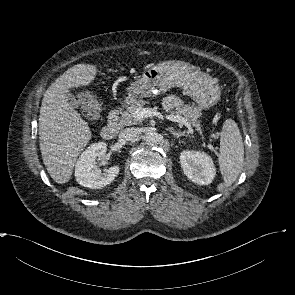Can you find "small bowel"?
I'll list each match as a JSON object with an SVG mask.
<instances>
[{"instance_id": "c3829d8e", "label": "small bowel", "mask_w": 295, "mask_h": 295, "mask_svg": "<svg viewBox=\"0 0 295 295\" xmlns=\"http://www.w3.org/2000/svg\"><path fill=\"white\" fill-rule=\"evenodd\" d=\"M181 105H182V101L177 96H173V95L167 96L163 100V106H164L165 110H167V111H172V110L180 107Z\"/></svg>"}]
</instances>
